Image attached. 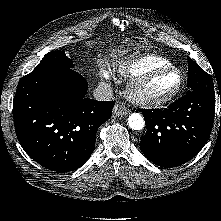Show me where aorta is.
<instances>
[{
	"mask_svg": "<svg viewBox=\"0 0 221 221\" xmlns=\"http://www.w3.org/2000/svg\"><path fill=\"white\" fill-rule=\"evenodd\" d=\"M128 125L132 130H142L145 126V121L139 113H132L128 117Z\"/></svg>",
	"mask_w": 221,
	"mask_h": 221,
	"instance_id": "obj_1",
	"label": "aorta"
}]
</instances>
